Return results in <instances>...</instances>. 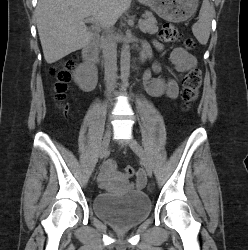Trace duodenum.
I'll list each match as a JSON object with an SVG mask.
<instances>
[{
  "mask_svg": "<svg viewBox=\"0 0 248 250\" xmlns=\"http://www.w3.org/2000/svg\"><path fill=\"white\" fill-rule=\"evenodd\" d=\"M99 39L96 35H92L87 41L83 49V59L86 63L95 65L98 63L97 53H98ZM146 59V55L143 54L138 58L141 63Z\"/></svg>",
  "mask_w": 248,
  "mask_h": 250,
  "instance_id": "obj_1",
  "label": "duodenum"
}]
</instances>
